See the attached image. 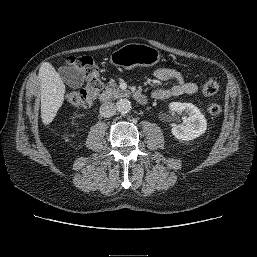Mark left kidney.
Segmentation results:
<instances>
[{
    "instance_id": "5707ae66",
    "label": "left kidney",
    "mask_w": 257,
    "mask_h": 257,
    "mask_svg": "<svg viewBox=\"0 0 257 257\" xmlns=\"http://www.w3.org/2000/svg\"><path fill=\"white\" fill-rule=\"evenodd\" d=\"M172 111L185 112L187 124L174 125L171 132L180 140H193L205 133L207 122L200 110L191 103L172 102L169 105Z\"/></svg>"
}]
</instances>
